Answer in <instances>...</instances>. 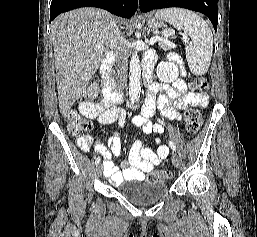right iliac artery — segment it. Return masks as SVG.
<instances>
[{
	"label": "right iliac artery",
	"mask_w": 257,
	"mask_h": 237,
	"mask_svg": "<svg viewBox=\"0 0 257 237\" xmlns=\"http://www.w3.org/2000/svg\"><path fill=\"white\" fill-rule=\"evenodd\" d=\"M100 162V157L96 158L95 164L97 165Z\"/></svg>",
	"instance_id": "obj_1"
}]
</instances>
